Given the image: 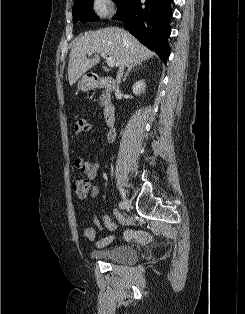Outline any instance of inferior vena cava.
Listing matches in <instances>:
<instances>
[{"instance_id":"1","label":"inferior vena cava","mask_w":245,"mask_h":314,"mask_svg":"<svg viewBox=\"0 0 245 314\" xmlns=\"http://www.w3.org/2000/svg\"><path fill=\"white\" fill-rule=\"evenodd\" d=\"M125 66H126V63L123 64V65H121V66L119 67V71L117 72V76H116L117 88H116V90H115V94H116V95H118L119 92H120L118 85H119L120 82H121V77H122V75H123V70H124V67H125Z\"/></svg>"}]
</instances>
